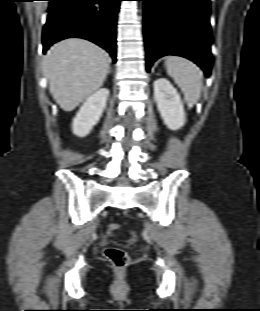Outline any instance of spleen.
<instances>
[{
    "label": "spleen",
    "instance_id": "obj_1",
    "mask_svg": "<svg viewBox=\"0 0 260 311\" xmlns=\"http://www.w3.org/2000/svg\"><path fill=\"white\" fill-rule=\"evenodd\" d=\"M168 74L184 93V99L192 108L200 98L202 91V71L192 61L178 56H169L165 60Z\"/></svg>",
    "mask_w": 260,
    "mask_h": 311
}]
</instances>
